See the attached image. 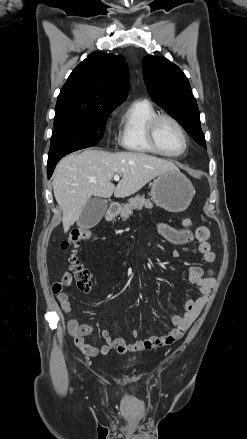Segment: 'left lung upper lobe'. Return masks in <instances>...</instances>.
I'll list each match as a JSON object with an SVG mask.
<instances>
[{
    "label": "left lung upper lobe",
    "mask_w": 247,
    "mask_h": 439,
    "mask_svg": "<svg viewBox=\"0 0 247 439\" xmlns=\"http://www.w3.org/2000/svg\"><path fill=\"white\" fill-rule=\"evenodd\" d=\"M142 70L152 100L173 116L198 144L206 148L196 99L181 69L164 57L147 55L143 59Z\"/></svg>",
    "instance_id": "obj_1"
}]
</instances>
